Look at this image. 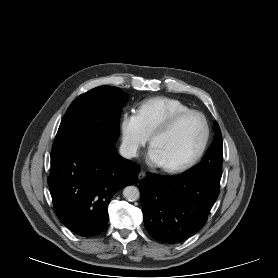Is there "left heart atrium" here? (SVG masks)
Masks as SVG:
<instances>
[{
	"label": "left heart atrium",
	"mask_w": 278,
	"mask_h": 278,
	"mask_svg": "<svg viewBox=\"0 0 278 278\" xmlns=\"http://www.w3.org/2000/svg\"><path fill=\"white\" fill-rule=\"evenodd\" d=\"M148 161L153 166H163L162 161L155 147L151 146L147 153Z\"/></svg>",
	"instance_id": "39dd6f15"
}]
</instances>
